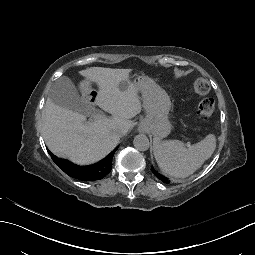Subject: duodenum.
<instances>
[{
  "instance_id": "duodenum-1",
  "label": "duodenum",
  "mask_w": 255,
  "mask_h": 255,
  "mask_svg": "<svg viewBox=\"0 0 255 255\" xmlns=\"http://www.w3.org/2000/svg\"><path fill=\"white\" fill-rule=\"evenodd\" d=\"M82 95L89 105H93L97 100V92L88 86L82 88Z\"/></svg>"
}]
</instances>
